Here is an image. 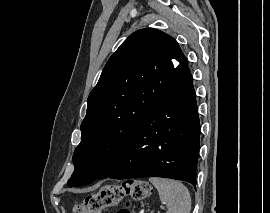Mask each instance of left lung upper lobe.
I'll use <instances>...</instances> for the list:
<instances>
[{
	"mask_svg": "<svg viewBox=\"0 0 270 213\" xmlns=\"http://www.w3.org/2000/svg\"><path fill=\"white\" fill-rule=\"evenodd\" d=\"M187 65L178 43L157 29L138 30L120 45L89 94L68 186L108 174L138 124Z\"/></svg>",
	"mask_w": 270,
	"mask_h": 213,
	"instance_id": "1",
	"label": "left lung upper lobe"
}]
</instances>
